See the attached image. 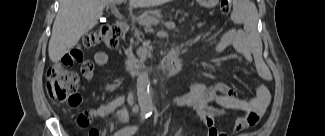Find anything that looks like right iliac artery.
Returning a JSON list of instances; mask_svg holds the SVG:
<instances>
[{
    "instance_id": "82829eb1",
    "label": "right iliac artery",
    "mask_w": 325,
    "mask_h": 136,
    "mask_svg": "<svg viewBox=\"0 0 325 136\" xmlns=\"http://www.w3.org/2000/svg\"><path fill=\"white\" fill-rule=\"evenodd\" d=\"M148 114H143L141 116V121H144L146 118H148ZM138 127L137 126H130L124 129L119 130L116 132V136H131L137 131Z\"/></svg>"
}]
</instances>
